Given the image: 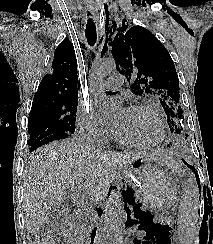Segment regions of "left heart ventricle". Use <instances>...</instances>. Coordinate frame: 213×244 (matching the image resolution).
<instances>
[{
	"mask_svg": "<svg viewBox=\"0 0 213 244\" xmlns=\"http://www.w3.org/2000/svg\"><path fill=\"white\" fill-rule=\"evenodd\" d=\"M117 132L125 139L152 143L161 135L159 124L146 110H120L114 117Z\"/></svg>",
	"mask_w": 213,
	"mask_h": 244,
	"instance_id": "1",
	"label": "left heart ventricle"
}]
</instances>
